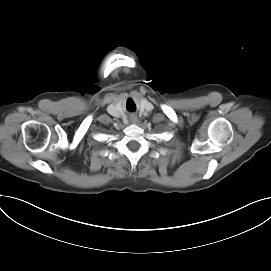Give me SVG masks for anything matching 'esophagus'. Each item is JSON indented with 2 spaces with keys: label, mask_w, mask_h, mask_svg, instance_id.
Returning <instances> with one entry per match:
<instances>
[{
  "label": "esophagus",
  "mask_w": 271,
  "mask_h": 271,
  "mask_svg": "<svg viewBox=\"0 0 271 271\" xmlns=\"http://www.w3.org/2000/svg\"><path fill=\"white\" fill-rule=\"evenodd\" d=\"M132 120L135 122L137 119L134 117V118H132Z\"/></svg>",
  "instance_id": "esophagus-1"
}]
</instances>
